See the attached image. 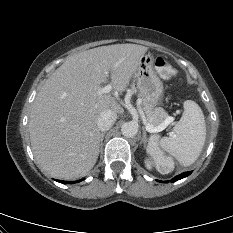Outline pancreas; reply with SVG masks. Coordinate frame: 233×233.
I'll return each mask as SVG.
<instances>
[{"label":"pancreas","instance_id":"obj_1","mask_svg":"<svg viewBox=\"0 0 233 233\" xmlns=\"http://www.w3.org/2000/svg\"><path fill=\"white\" fill-rule=\"evenodd\" d=\"M137 89L134 85L131 87V93H136ZM141 96V94H140ZM142 105L143 110L146 115L147 122L152 125L153 127H158L161 125L165 119L168 117V114L165 112L164 109L157 107L153 108L150 104H148L143 98H142ZM157 137H155L156 139Z\"/></svg>","mask_w":233,"mask_h":233}]
</instances>
